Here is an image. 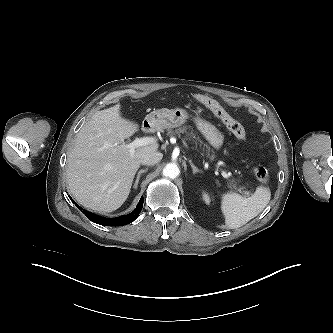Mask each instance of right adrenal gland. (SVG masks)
<instances>
[{
    "label": "right adrenal gland",
    "mask_w": 333,
    "mask_h": 333,
    "mask_svg": "<svg viewBox=\"0 0 333 333\" xmlns=\"http://www.w3.org/2000/svg\"><path fill=\"white\" fill-rule=\"evenodd\" d=\"M145 172H147V168H146V169H142V170H140V171L138 172V174H137V178H136V181H135V184L133 185V188H134V189H137V187H138V183H139V180H140V176H141L142 173H145Z\"/></svg>",
    "instance_id": "right-adrenal-gland-1"
}]
</instances>
